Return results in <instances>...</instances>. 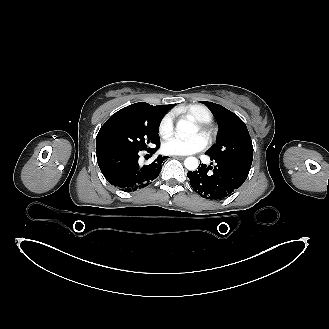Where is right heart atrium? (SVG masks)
Here are the masks:
<instances>
[{"label": "right heart atrium", "instance_id": "1", "mask_svg": "<svg viewBox=\"0 0 329 329\" xmlns=\"http://www.w3.org/2000/svg\"><path fill=\"white\" fill-rule=\"evenodd\" d=\"M159 134L163 138L169 137L174 130V114L172 112L167 113L162 117L159 123Z\"/></svg>", "mask_w": 329, "mask_h": 329}]
</instances>
